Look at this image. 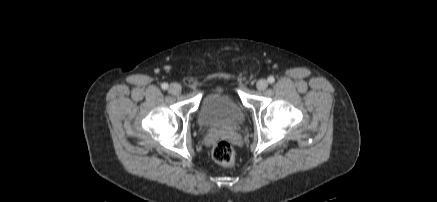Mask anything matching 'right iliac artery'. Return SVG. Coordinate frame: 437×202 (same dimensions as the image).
Masks as SVG:
<instances>
[{
	"mask_svg": "<svg viewBox=\"0 0 437 202\" xmlns=\"http://www.w3.org/2000/svg\"><path fill=\"white\" fill-rule=\"evenodd\" d=\"M161 87H162V89L166 90V89H168V84L167 83H163L161 85Z\"/></svg>",
	"mask_w": 437,
	"mask_h": 202,
	"instance_id": "1",
	"label": "right iliac artery"
}]
</instances>
